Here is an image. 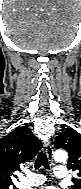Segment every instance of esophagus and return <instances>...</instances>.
Instances as JSON below:
<instances>
[{
  "instance_id": "obj_1",
  "label": "esophagus",
  "mask_w": 81,
  "mask_h": 189,
  "mask_svg": "<svg viewBox=\"0 0 81 189\" xmlns=\"http://www.w3.org/2000/svg\"><path fill=\"white\" fill-rule=\"evenodd\" d=\"M44 148H45V153L48 157V159L53 162V147L52 144L50 142H46L44 144Z\"/></svg>"
}]
</instances>
